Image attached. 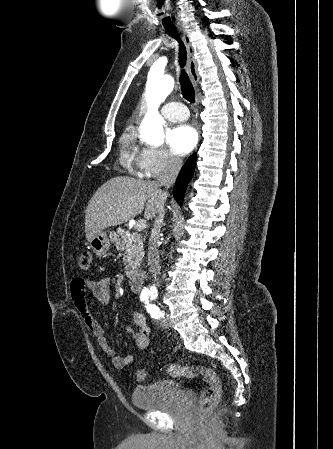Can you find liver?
<instances>
[{
    "instance_id": "liver-1",
    "label": "liver",
    "mask_w": 333,
    "mask_h": 449,
    "mask_svg": "<svg viewBox=\"0 0 333 449\" xmlns=\"http://www.w3.org/2000/svg\"><path fill=\"white\" fill-rule=\"evenodd\" d=\"M166 192L156 182H143L129 177H114L93 195L86 209L85 233L90 241L110 226L128 222L141 214L150 220L164 207Z\"/></svg>"
}]
</instances>
